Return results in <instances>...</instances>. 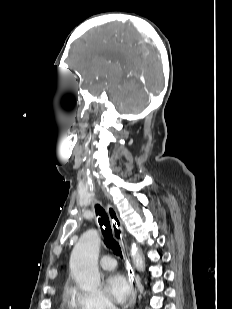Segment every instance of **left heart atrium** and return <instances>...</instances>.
Masks as SVG:
<instances>
[{"label": "left heart atrium", "instance_id": "left-heart-atrium-1", "mask_svg": "<svg viewBox=\"0 0 232 309\" xmlns=\"http://www.w3.org/2000/svg\"><path fill=\"white\" fill-rule=\"evenodd\" d=\"M107 289L119 304H124L130 300L131 286L128 279L120 272H113L107 278Z\"/></svg>", "mask_w": 232, "mask_h": 309}]
</instances>
